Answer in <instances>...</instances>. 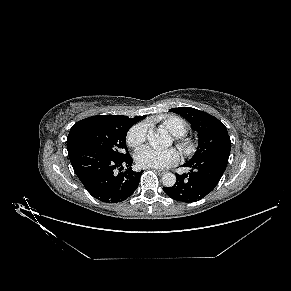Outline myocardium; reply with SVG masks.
<instances>
[{
	"instance_id": "1",
	"label": "myocardium",
	"mask_w": 291,
	"mask_h": 291,
	"mask_svg": "<svg viewBox=\"0 0 291 291\" xmlns=\"http://www.w3.org/2000/svg\"><path fill=\"white\" fill-rule=\"evenodd\" d=\"M178 145L184 153H190L194 150V142L189 137H178Z\"/></svg>"
}]
</instances>
